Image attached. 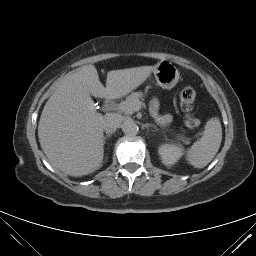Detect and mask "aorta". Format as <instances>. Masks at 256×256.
Listing matches in <instances>:
<instances>
[{
	"mask_svg": "<svg viewBox=\"0 0 256 256\" xmlns=\"http://www.w3.org/2000/svg\"><path fill=\"white\" fill-rule=\"evenodd\" d=\"M121 129L124 134L128 136H134L138 133V126L137 124L132 120H127L122 123Z\"/></svg>",
	"mask_w": 256,
	"mask_h": 256,
	"instance_id": "obj_1",
	"label": "aorta"
}]
</instances>
